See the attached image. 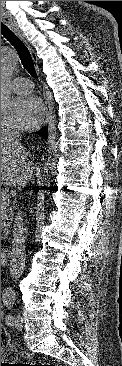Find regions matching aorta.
<instances>
[{
    "label": "aorta",
    "instance_id": "obj_1",
    "mask_svg": "<svg viewBox=\"0 0 122 366\" xmlns=\"http://www.w3.org/2000/svg\"><path fill=\"white\" fill-rule=\"evenodd\" d=\"M18 65V56L8 47L1 48V110L4 111L10 100V82Z\"/></svg>",
    "mask_w": 122,
    "mask_h": 366
}]
</instances>
